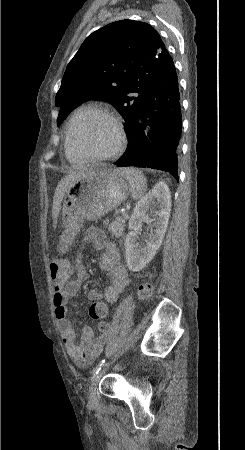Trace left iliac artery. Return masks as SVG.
<instances>
[{
  "instance_id": "1",
  "label": "left iliac artery",
  "mask_w": 245,
  "mask_h": 450,
  "mask_svg": "<svg viewBox=\"0 0 245 450\" xmlns=\"http://www.w3.org/2000/svg\"><path fill=\"white\" fill-rule=\"evenodd\" d=\"M104 363H105V359H103L94 369H93V371H92V377H94L95 375H97L99 372H100V370H101V368H102V366L104 365Z\"/></svg>"
}]
</instances>
